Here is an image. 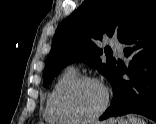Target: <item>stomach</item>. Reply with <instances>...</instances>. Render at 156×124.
I'll use <instances>...</instances> for the list:
<instances>
[{
  "mask_svg": "<svg viewBox=\"0 0 156 124\" xmlns=\"http://www.w3.org/2000/svg\"><path fill=\"white\" fill-rule=\"evenodd\" d=\"M105 124H127V123H126V120L119 118V119L109 120Z\"/></svg>",
  "mask_w": 156,
  "mask_h": 124,
  "instance_id": "obj_1",
  "label": "stomach"
}]
</instances>
